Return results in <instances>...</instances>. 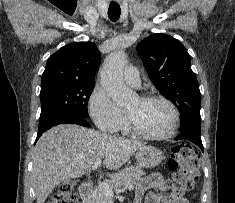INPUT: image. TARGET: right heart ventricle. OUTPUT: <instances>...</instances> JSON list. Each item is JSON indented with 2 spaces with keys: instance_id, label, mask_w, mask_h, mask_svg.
<instances>
[{
  "instance_id": "obj_1",
  "label": "right heart ventricle",
  "mask_w": 235,
  "mask_h": 203,
  "mask_svg": "<svg viewBox=\"0 0 235 203\" xmlns=\"http://www.w3.org/2000/svg\"><path fill=\"white\" fill-rule=\"evenodd\" d=\"M119 130H120L122 133H124V134H128V133H129L125 122H123V124L121 125V127H120Z\"/></svg>"
}]
</instances>
